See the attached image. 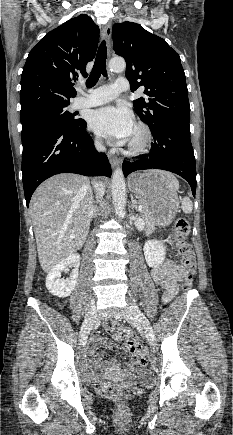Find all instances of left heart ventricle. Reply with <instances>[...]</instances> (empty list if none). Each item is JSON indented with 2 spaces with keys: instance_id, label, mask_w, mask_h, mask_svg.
I'll return each instance as SVG.
<instances>
[{
  "instance_id": "obj_1",
  "label": "left heart ventricle",
  "mask_w": 233,
  "mask_h": 435,
  "mask_svg": "<svg viewBox=\"0 0 233 435\" xmlns=\"http://www.w3.org/2000/svg\"><path fill=\"white\" fill-rule=\"evenodd\" d=\"M138 138H139V134H138V132L135 131V130H133V132H132V134H131V136H130L129 141H134V140H137Z\"/></svg>"
}]
</instances>
